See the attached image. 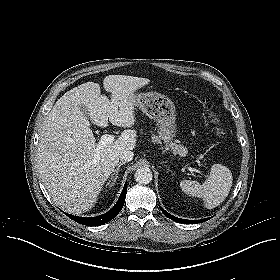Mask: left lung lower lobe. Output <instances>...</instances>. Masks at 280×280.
Instances as JSON below:
<instances>
[{
	"label": "left lung lower lobe",
	"instance_id": "0a47b994",
	"mask_svg": "<svg viewBox=\"0 0 280 280\" xmlns=\"http://www.w3.org/2000/svg\"><path fill=\"white\" fill-rule=\"evenodd\" d=\"M161 211L170 219L179 222V223H188V224H194V223H200V222H204L208 219H201V220H185V219H180L177 217H174L172 215H170L168 212H166L162 207H160Z\"/></svg>",
	"mask_w": 280,
	"mask_h": 280
}]
</instances>
